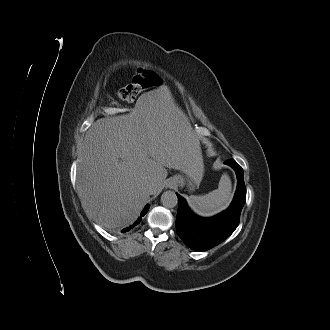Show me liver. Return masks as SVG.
<instances>
[{
    "instance_id": "obj_1",
    "label": "liver",
    "mask_w": 330,
    "mask_h": 330,
    "mask_svg": "<svg viewBox=\"0 0 330 330\" xmlns=\"http://www.w3.org/2000/svg\"><path fill=\"white\" fill-rule=\"evenodd\" d=\"M198 152L183 111L169 98L142 94L130 114L98 119L88 130L77 169L82 206L105 228L126 227L149 198L147 182L156 184V194L165 167L183 172Z\"/></svg>"
}]
</instances>
